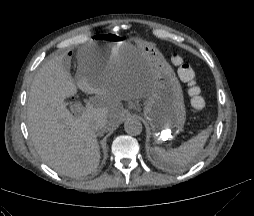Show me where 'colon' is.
I'll return each instance as SVG.
<instances>
[{
	"instance_id": "obj_1",
	"label": "colon",
	"mask_w": 254,
	"mask_h": 216,
	"mask_svg": "<svg viewBox=\"0 0 254 216\" xmlns=\"http://www.w3.org/2000/svg\"><path fill=\"white\" fill-rule=\"evenodd\" d=\"M171 61L177 67L178 77L188 87V94L192 106L195 109H202L205 103L201 95V89L196 84L195 72L193 68L185 63L183 58L178 54H174L171 58Z\"/></svg>"
}]
</instances>
